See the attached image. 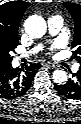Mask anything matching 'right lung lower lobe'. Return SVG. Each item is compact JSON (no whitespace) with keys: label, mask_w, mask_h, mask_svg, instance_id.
<instances>
[{"label":"right lung lower lobe","mask_w":81,"mask_h":124,"mask_svg":"<svg viewBox=\"0 0 81 124\" xmlns=\"http://www.w3.org/2000/svg\"><path fill=\"white\" fill-rule=\"evenodd\" d=\"M41 64L25 68H12L11 63L0 66V97L15 99L23 96L31 87L37 69Z\"/></svg>","instance_id":"right-lung-lower-lobe-1"}]
</instances>
